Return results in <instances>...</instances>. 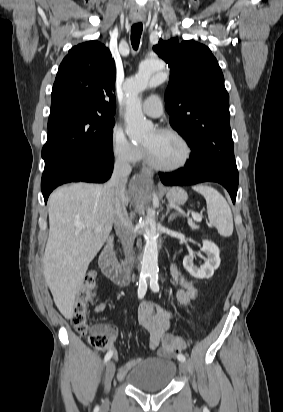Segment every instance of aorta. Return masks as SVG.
<instances>
[{
    "mask_svg": "<svg viewBox=\"0 0 283 412\" xmlns=\"http://www.w3.org/2000/svg\"><path fill=\"white\" fill-rule=\"evenodd\" d=\"M165 63L160 59L145 61L139 71L128 78L124 85L125 90V123L126 133L131 140L142 139L152 129L142 112V102L139 94L148 86L154 87L163 83L166 75ZM151 188L150 180L144 176H138L132 182L131 190L138 197H144ZM145 247L141 262V276H155L158 273V233L155 228H145Z\"/></svg>",
    "mask_w": 283,
    "mask_h": 412,
    "instance_id": "1",
    "label": "aorta"
}]
</instances>
